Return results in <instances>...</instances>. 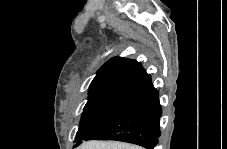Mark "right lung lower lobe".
Returning <instances> with one entry per match:
<instances>
[{
  "label": "right lung lower lobe",
  "instance_id": "obj_1",
  "mask_svg": "<svg viewBox=\"0 0 227 149\" xmlns=\"http://www.w3.org/2000/svg\"><path fill=\"white\" fill-rule=\"evenodd\" d=\"M162 108L152 82L142 86L110 121L92 131L87 140H117L154 149L160 136Z\"/></svg>",
  "mask_w": 227,
  "mask_h": 149
}]
</instances>
